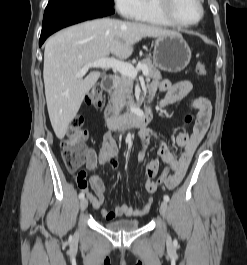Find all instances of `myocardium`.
I'll return each instance as SVG.
<instances>
[{
    "label": "myocardium",
    "mask_w": 247,
    "mask_h": 265,
    "mask_svg": "<svg viewBox=\"0 0 247 265\" xmlns=\"http://www.w3.org/2000/svg\"><path fill=\"white\" fill-rule=\"evenodd\" d=\"M175 0H157V8L159 12L171 23L173 26L179 28H189L198 25L204 18L205 7L203 0H197V3L200 7V16L199 18L191 23H185L180 21L173 12V4Z\"/></svg>",
    "instance_id": "f54148a6"
}]
</instances>
